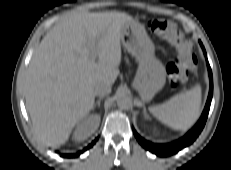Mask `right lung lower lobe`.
<instances>
[{"instance_id": "obj_1", "label": "right lung lower lobe", "mask_w": 231, "mask_h": 170, "mask_svg": "<svg viewBox=\"0 0 231 170\" xmlns=\"http://www.w3.org/2000/svg\"><path fill=\"white\" fill-rule=\"evenodd\" d=\"M95 142H96V140H94L88 147H86L85 150H87L88 148L92 147V146L95 144ZM80 153H82V151L79 152V154H80ZM63 156H64V157H76L77 154H65V155H63Z\"/></svg>"}]
</instances>
